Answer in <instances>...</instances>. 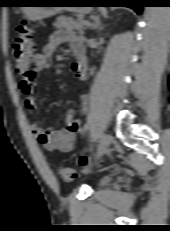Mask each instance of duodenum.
Here are the masks:
<instances>
[{
  "mask_svg": "<svg viewBox=\"0 0 170 231\" xmlns=\"http://www.w3.org/2000/svg\"><path fill=\"white\" fill-rule=\"evenodd\" d=\"M76 55L78 56L79 61L82 63L83 59H84V55H83L82 51H76Z\"/></svg>",
  "mask_w": 170,
  "mask_h": 231,
  "instance_id": "1",
  "label": "duodenum"
}]
</instances>
